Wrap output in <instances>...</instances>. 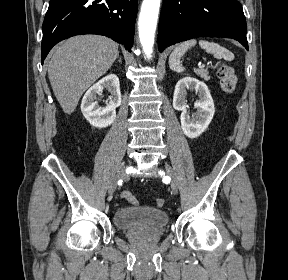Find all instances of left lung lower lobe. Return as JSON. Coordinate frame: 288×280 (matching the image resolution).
<instances>
[{
    "label": "left lung lower lobe",
    "instance_id": "0a47b994",
    "mask_svg": "<svg viewBox=\"0 0 288 280\" xmlns=\"http://www.w3.org/2000/svg\"><path fill=\"white\" fill-rule=\"evenodd\" d=\"M247 24L238 0H164L158 48L196 37H224L239 41L247 50Z\"/></svg>",
    "mask_w": 288,
    "mask_h": 280
}]
</instances>
